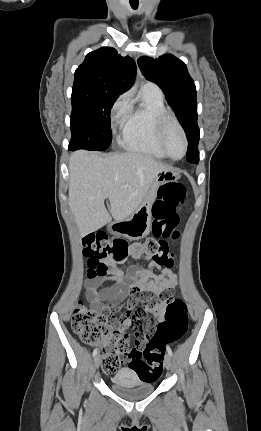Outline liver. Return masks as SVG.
Masks as SVG:
<instances>
[{
  "mask_svg": "<svg viewBox=\"0 0 261 431\" xmlns=\"http://www.w3.org/2000/svg\"><path fill=\"white\" fill-rule=\"evenodd\" d=\"M170 169L136 152L76 151L70 156L69 206L81 236L128 218L138 208L158 173ZM109 200L108 210L104 204Z\"/></svg>",
  "mask_w": 261,
  "mask_h": 431,
  "instance_id": "liver-1",
  "label": "liver"
}]
</instances>
